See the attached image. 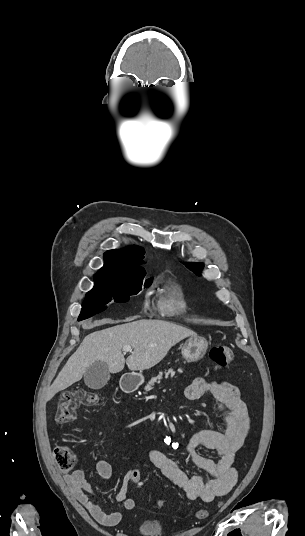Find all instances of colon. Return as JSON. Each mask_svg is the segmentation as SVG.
<instances>
[{
  "instance_id": "1",
  "label": "colon",
  "mask_w": 305,
  "mask_h": 536,
  "mask_svg": "<svg viewBox=\"0 0 305 536\" xmlns=\"http://www.w3.org/2000/svg\"><path fill=\"white\" fill-rule=\"evenodd\" d=\"M210 359L219 366H226L233 359V349L227 344L214 346L209 351ZM100 397L97 392L90 391H66L59 400L56 421L60 425H66L76 418V409L80 405L93 406L98 404ZM53 456L61 471H76V455L71 446L57 445L53 450ZM130 477L127 478L128 486L133 487L143 481V476L138 474L136 468L129 470ZM206 510H198L196 518L205 519L208 517Z\"/></svg>"
}]
</instances>
